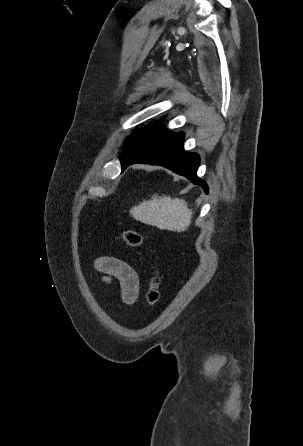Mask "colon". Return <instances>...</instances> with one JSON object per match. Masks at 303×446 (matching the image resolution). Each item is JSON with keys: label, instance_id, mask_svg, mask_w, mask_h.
Wrapping results in <instances>:
<instances>
[{"label": "colon", "instance_id": "5ec220e1", "mask_svg": "<svg viewBox=\"0 0 303 446\" xmlns=\"http://www.w3.org/2000/svg\"><path fill=\"white\" fill-rule=\"evenodd\" d=\"M122 239L126 245L133 248L140 247L144 242L142 235L135 230H125ZM160 284V273L157 269H153L146 292V301L150 307H154L159 301Z\"/></svg>", "mask_w": 303, "mask_h": 446}]
</instances>
